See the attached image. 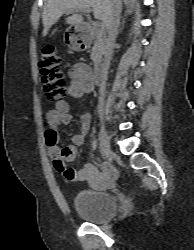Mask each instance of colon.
Masks as SVG:
<instances>
[{"instance_id": "1", "label": "colon", "mask_w": 194, "mask_h": 250, "mask_svg": "<svg viewBox=\"0 0 194 250\" xmlns=\"http://www.w3.org/2000/svg\"><path fill=\"white\" fill-rule=\"evenodd\" d=\"M60 56L53 46H46L40 55V69L43 75L44 91L49 99L61 100L66 93V79L61 70Z\"/></svg>"}]
</instances>
